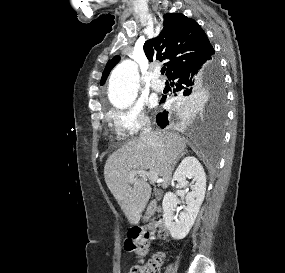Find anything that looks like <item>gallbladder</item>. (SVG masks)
<instances>
[{"label": "gallbladder", "instance_id": "bac80fb5", "mask_svg": "<svg viewBox=\"0 0 285 273\" xmlns=\"http://www.w3.org/2000/svg\"><path fill=\"white\" fill-rule=\"evenodd\" d=\"M156 196H157V198H159L160 197V193H156Z\"/></svg>", "mask_w": 285, "mask_h": 273}]
</instances>
